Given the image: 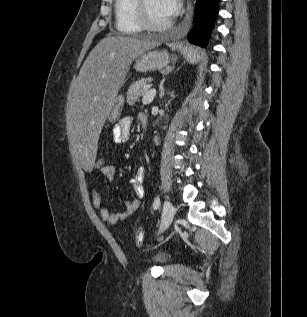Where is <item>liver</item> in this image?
Here are the masks:
<instances>
[{
	"instance_id": "1",
	"label": "liver",
	"mask_w": 307,
	"mask_h": 317,
	"mask_svg": "<svg viewBox=\"0 0 307 317\" xmlns=\"http://www.w3.org/2000/svg\"><path fill=\"white\" fill-rule=\"evenodd\" d=\"M159 46L155 40L125 36L102 39L83 63L67 112V131L83 175H92L100 131L131 63Z\"/></svg>"
}]
</instances>
